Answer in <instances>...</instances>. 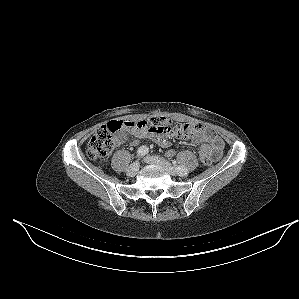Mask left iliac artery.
<instances>
[{
  "label": "left iliac artery",
  "mask_w": 299,
  "mask_h": 299,
  "mask_svg": "<svg viewBox=\"0 0 299 299\" xmlns=\"http://www.w3.org/2000/svg\"><path fill=\"white\" fill-rule=\"evenodd\" d=\"M175 166V170L176 172L181 175V176H184V175H187L188 174V170L187 168H185L184 166H177V165H174Z\"/></svg>",
  "instance_id": "obj_1"
}]
</instances>
